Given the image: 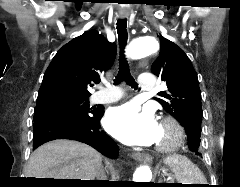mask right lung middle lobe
<instances>
[{
	"label": "right lung middle lobe",
	"instance_id": "dd1d6c3e",
	"mask_svg": "<svg viewBox=\"0 0 240 187\" xmlns=\"http://www.w3.org/2000/svg\"><path fill=\"white\" fill-rule=\"evenodd\" d=\"M98 109L90 107L88 97L59 99L37 105L34 111V122L51 115H61L73 120H86L95 116Z\"/></svg>",
	"mask_w": 240,
	"mask_h": 187
}]
</instances>
